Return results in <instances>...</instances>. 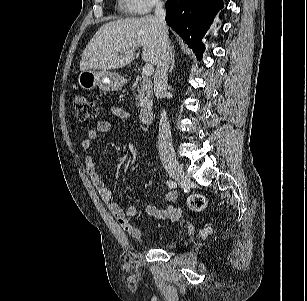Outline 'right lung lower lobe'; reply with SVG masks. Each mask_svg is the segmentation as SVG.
Segmentation results:
<instances>
[{
	"label": "right lung lower lobe",
	"instance_id": "98d812e1",
	"mask_svg": "<svg viewBox=\"0 0 307 301\" xmlns=\"http://www.w3.org/2000/svg\"><path fill=\"white\" fill-rule=\"evenodd\" d=\"M223 5V0H168L166 2L167 24L194 50L199 60L205 49L202 38Z\"/></svg>",
	"mask_w": 307,
	"mask_h": 301
}]
</instances>
